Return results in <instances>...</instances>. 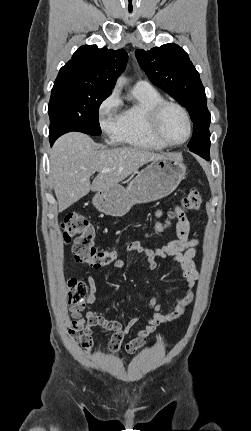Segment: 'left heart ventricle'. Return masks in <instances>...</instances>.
Returning a JSON list of instances; mask_svg holds the SVG:
<instances>
[{
  "instance_id": "b2bd125f",
  "label": "left heart ventricle",
  "mask_w": 251,
  "mask_h": 431,
  "mask_svg": "<svg viewBox=\"0 0 251 431\" xmlns=\"http://www.w3.org/2000/svg\"><path fill=\"white\" fill-rule=\"evenodd\" d=\"M159 126L163 137L170 142L181 141L187 133L186 121L182 112L172 106L163 111Z\"/></svg>"
}]
</instances>
